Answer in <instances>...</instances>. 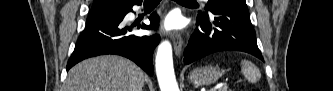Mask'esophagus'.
<instances>
[{
    "label": "esophagus",
    "mask_w": 333,
    "mask_h": 91,
    "mask_svg": "<svg viewBox=\"0 0 333 91\" xmlns=\"http://www.w3.org/2000/svg\"><path fill=\"white\" fill-rule=\"evenodd\" d=\"M182 44H183V42H182L181 35L179 33H177L175 35V37L173 38L174 51L177 56H179L181 53Z\"/></svg>",
    "instance_id": "1"
}]
</instances>
